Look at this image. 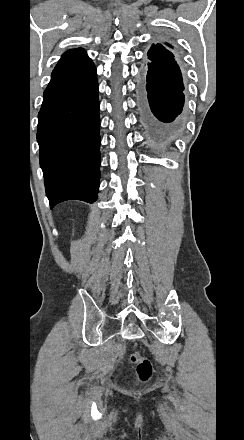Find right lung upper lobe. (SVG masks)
<instances>
[{"instance_id":"cb5924a9","label":"right lung upper lobe","mask_w":244,"mask_h":440,"mask_svg":"<svg viewBox=\"0 0 244 440\" xmlns=\"http://www.w3.org/2000/svg\"><path fill=\"white\" fill-rule=\"evenodd\" d=\"M75 62L83 65L92 63L91 59L88 58L86 51L82 48H78L68 50L64 53L56 67Z\"/></svg>"}]
</instances>
